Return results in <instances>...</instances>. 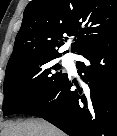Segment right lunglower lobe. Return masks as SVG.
Returning <instances> with one entry per match:
<instances>
[{
    "label": "right lung lower lobe",
    "mask_w": 117,
    "mask_h": 136,
    "mask_svg": "<svg viewBox=\"0 0 117 136\" xmlns=\"http://www.w3.org/2000/svg\"><path fill=\"white\" fill-rule=\"evenodd\" d=\"M79 55L88 60L76 63L83 85L67 75L17 113L44 118L69 136H117V31Z\"/></svg>",
    "instance_id": "98d812e1"
}]
</instances>
